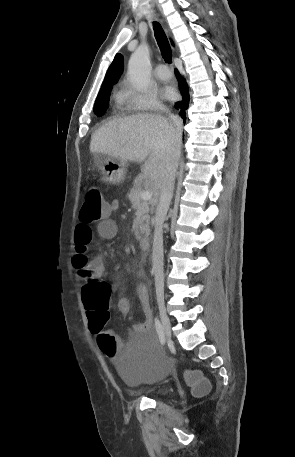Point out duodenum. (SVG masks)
I'll return each instance as SVG.
<instances>
[{"mask_svg":"<svg viewBox=\"0 0 295 457\" xmlns=\"http://www.w3.org/2000/svg\"><path fill=\"white\" fill-rule=\"evenodd\" d=\"M140 248L143 253H147L150 248V238L142 237L140 239Z\"/></svg>","mask_w":295,"mask_h":457,"instance_id":"1","label":"duodenum"}]
</instances>
